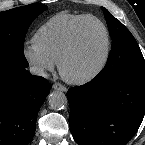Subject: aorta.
<instances>
[{
    "label": "aorta",
    "instance_id": "obj_1",
    "mask_svg": "<svg viewBox=\"0 0 145 145\" xmlns=\"http://www.w3.org/2000/svg\"><path fill=\"white\" fill-rule=\"evenodd\" d=\"M48 102L52 109L61 110L63 109L67 103V96L61 91H54L49 94Z\"/></svg>",
    "mask_w": 145,
    "mask_h": 145
}]
</instances>
